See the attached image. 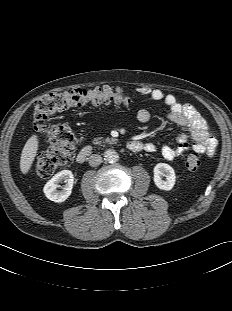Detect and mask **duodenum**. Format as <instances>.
<instances>
[{
    "label": "duodenum",
    "mask_w": 232,
    "mask_h": 311,
    "mask_svg": "<svg viewBox=\"0 0 232 311\" xmlns=\"http://www.w3.org/2000/svg\"><path fill=\"white\" fill-rule=\"evenodd\" d=\"M127 147L132 152H140L143 150L144 145L138 141H130ZM93 153V148L90 145L84 146L77 154L76 160L78 163L85 162Z\"/></svg>",
    "instance_id": "obj_1"
}]
</instances>
